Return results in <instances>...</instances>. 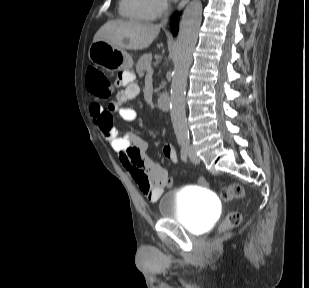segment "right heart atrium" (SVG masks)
Returning <instances> with one entry per match:
<instances>
[{"label":"right heart atrium","mask_w":309,"mask_h":288,"mask_svg":"<svg viewBox=\"0 0 309 288\" xmlns=\"http://www.w3.org/2000/svg\"><path fill=\"white\" fill-rule=\"evenodd\" d=\"M155 17L163 15L169 9V0H149Z\"/></svg>","instance_id":"right-heart-atrium-1"}]
</instances>
